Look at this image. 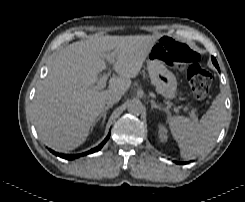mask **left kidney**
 Instances as JSON below:
<instances>
[{"instance_id":"5707ae66","label":"left kidney","mask_w":245,"mask_h":202,"mask_svg":"<svg viewBox=\"0 0 245 202\" xmlns=\"http://www.w3.org/2000/svg\"><path fill=\"white\" fill-rule=\"evenodd\" d=\"M158 135L162 142L167 141V129L164 125H159Z\"/></svg>"}]
</instances>
